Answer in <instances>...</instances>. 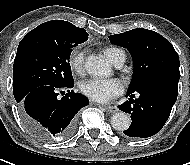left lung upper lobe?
<instances>
[{
    "label": "left lung upper lobe",
    "mask_w": 190,
    "mask_h": 165,
    "mask_svg": "<svg viewBox=\"0 0 190 165\" xmlns=\"http://www.w3.org/2000/svg\"><path fill=\"white\" fill-rule=\"evenodd\" d=\"M111 43L127 48L132 55L134 74L128 91L153 78H180L179 57L174 47L160 34L137 28L109 36Z\"/></svg>",
    "instance_id": "1"
}]
</instances>
